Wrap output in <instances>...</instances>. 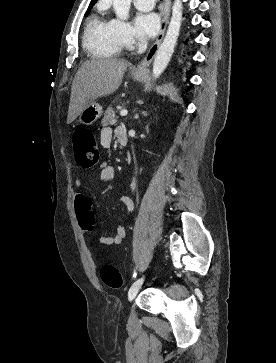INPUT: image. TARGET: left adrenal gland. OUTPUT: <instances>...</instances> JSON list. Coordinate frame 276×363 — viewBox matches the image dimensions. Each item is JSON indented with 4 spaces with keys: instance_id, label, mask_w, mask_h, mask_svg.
Masks as SVG:
<instances>
[{
    "instance_id": "left-adrenal-gland-1",
    "label": "left adrenal gland",
    "mask_w": 276,
    "mask_h": 363,
    "mask_svg": "<svg viewBox=\"0 0 276 363\" xmlns=\"http://www.w3.org/2000/svg\"><path fill=\"white\" fill-rule=\"evenodd\" d=\"M136 118H139V116H138V114H136V116H135Z\"/></svg>"
}]
</instances>
